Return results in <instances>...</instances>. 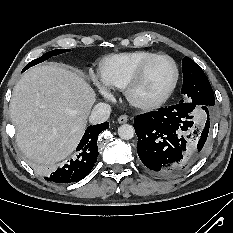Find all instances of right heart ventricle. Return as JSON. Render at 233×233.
<instances>
[{
  "label": "right heart ventricle",
  "mask_w": 233,
  "mask_h": 233,
  "mask_svg": "<svg viewBox=\"0 0 233 233\" xmlns=\"http://www.w3.org/2000/svg\"><path fill=\"white\" fill-rule=\"evenodd\" d=\"M156 54L151 51L138 50L107 56L100 66L101 79L108 88L123 89L135 70Z\"/></svg>",
  "instance_id": "obj_1"
}]
</instances>
